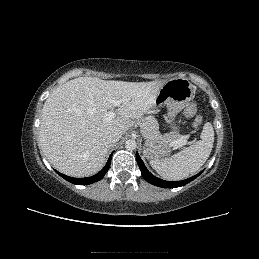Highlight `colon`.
Returning a JSON list of instances; mask_svg holds the SVG:
<instances>
[{
	"label": "colon",
	"mask_w": 259,
	"mask_h": 259,
	"mask_svg": "<svg viewBox=\"0 0 259 259\" xmlns=\"http://www.w3.org/2000/svg\"><path fill=\"white\" fill-rule=\"evenodd\" d=\"M185 115L188 118L193 119L194 127L199 128L201 126L202 118L198 114L197 105H196V102L194 100L190 101V103L187 105V107L185 109Z\"/></svg>",
	"instance_id": "obj_1"
}]
</instances>
